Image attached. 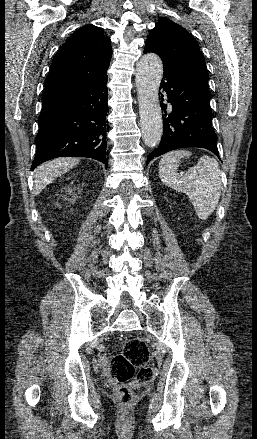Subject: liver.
<instances>
[{
  "mask_svg": "<svg viewBox=\"0 0 257 439\" xmlns=\"http://www.w3.org/2000/svg\"><path fill=\"white\" fill-rule=\"evenodd\" d=\"M75 158H57L50 162L44 163L35 170L34 174V194L40 192L55 178L66 173L78 163Z\"/></svg>",
  "mask_w": 257,
  "mask_h": 439,
  "instance_id": "1",
  "label": "liver"
}]
</instances>
